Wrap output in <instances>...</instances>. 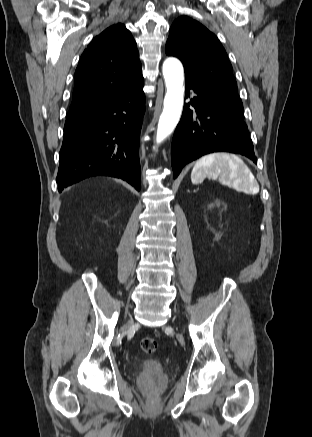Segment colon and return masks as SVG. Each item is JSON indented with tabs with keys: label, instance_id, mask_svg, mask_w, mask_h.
Masks as SVG:
<instances>
[{
	"label": "colon",
	"instance_id": "obj_1",
	"mask_svg": "<svg viewBox=\"0 0 312 437\" xmlns=\"http://www.w3.org/2000/svg\"><path fill=\"white\" fill-rule=\"evenodd\" d=\"M157 343L153 338L146 337L141 340V348L147 354H153L157 351Z\"/></svg>",
	"mask_w": 312,
	"mask_h": 437
}]
</instances>
